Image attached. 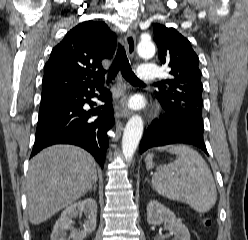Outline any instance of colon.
<instances>
[{"label": "colon", "instance_id": "5ec220e1", "mask_svg": "<svg viewBox=\"0 0 248 240\" xmlns=\"http://www.w3.org/2000/svg\"><path fill=\"white\" fill-rule=\"evenodd\" d=\"M205 224H206L207 226H209V225L211 224V222H210L208 219H206V220H205Z\"/></svg>", "mask_w": 248, "mask_h": 240}]
</instances>
